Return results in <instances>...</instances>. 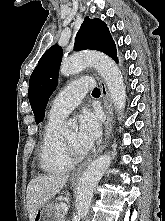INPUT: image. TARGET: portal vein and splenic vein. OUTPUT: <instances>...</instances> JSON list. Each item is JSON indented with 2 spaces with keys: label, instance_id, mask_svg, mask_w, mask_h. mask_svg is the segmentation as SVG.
<instances>
[{
  "label": "portal vein and splenic vein",
  "instance_id": "portal-vein-and-splenic-vein-1",
  "mask_svg": "<svg viewBox=\"0 0 165 221\" xmlns=\"http://www.w3.org/2000/svg\"><path fill=\"white\" fill-rule=\"evenodd\" d=\"M62 208H63V211H64V215H63V221H64V218H65V214H67L68 212V207L65 203H62Z\"/></svg>",
  "mask_w": 165,
  "mask_h": 221
}]
</instances>
